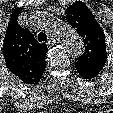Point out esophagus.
Wrapping results in <instances>:
<instances>
[{
    "mask_svg": "<svg viewBox=\"0 0 113 113\" xmlns=\"http://www.w3.org/2000/svg\"><path fill=\"white\" fill-rule=\"evenodd\" d=\"M48 46H53L56 44V40L54 38H49L48 42L46 43Z\"/></svg>",
    "mask_w": 113,
    "mask_h": 113,
    "instance_id": "1",
    "label": "esophagus"
}]
</instances>
